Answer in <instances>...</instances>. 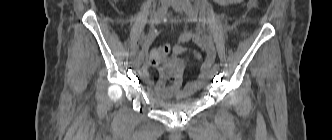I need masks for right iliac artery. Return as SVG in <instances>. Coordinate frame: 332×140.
I'll list each match as a JSON object with an SVG mask.
<instances>
[{
	"instance_id": "82829eb1",
	"label": "right iliac artery",
	"mask_w": 332,
	"mask_h": 140,
	"mask_svg": "<svg viewBox=\"0 0 332 140\" xmlns=\"http://www.w3.org/2000/svg\"><path fill=\"white\" fill-rule=\"evenodd\" d=\"M167 13V6H161L157 12L154 14V17L152 19V23H159L163 17L166 15ZM147 41L148 38L145 36L143 37L142 41H141V51L144 55L147 52Z\"/></svg>"
}]
</instances>
